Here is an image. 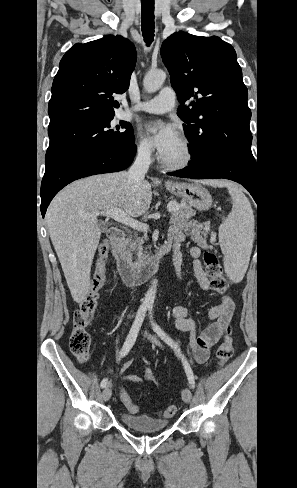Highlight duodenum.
Masks as SVG:
<instances>
[{
  "instance_id": "410a0bca",
  "label": "duodenum",
  "mask_w": 297,
  "mask_h": 488,
  "mask_svg": "<svg viewBox=\"0 0 297 488\" xmlns=\"http://www.w3.org/2000/svg\"><path fill=\"white\" fill-rule=\"evenodd\" d=\"M108 238L111 244V253L116 261L119 274L122 280L128 285H136L145 281L170 251V246L163 244L146 263L136 266L126 254L123 230L111 228L108 233Z\"/></svg>"
}]
</instances>
